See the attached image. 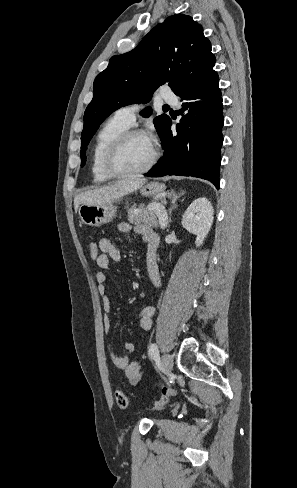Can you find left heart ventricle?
<instances>
[{"label":"left heart ventricle","instance_id":"b2bd125f","mask_svg":"<svg viewBox=\"0 0 297 488\" xmlns=\"http://www.w3.org/2000/svg\"><path fill=\"white\" fill-rule=\"evenodd\" d=\"M154 145L147 136H134L123 146L116 158L120 171H132L144 167L151 159Z\"/></svg>","mask_w":297,"mask_h":488}]
</instances>
